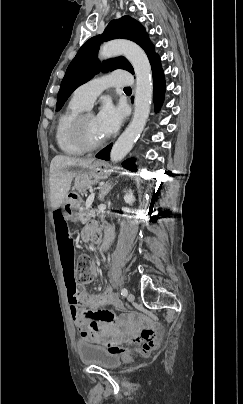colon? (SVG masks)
<instances>
[{
	"label": "colon",
	"mask_w": 243,
	"mask_h": 404,
	"mask_svg": "<svg viewBox=\"0 0 243 404\" xmlns=\"http://www.w3.org/2000/svg\"><path fill=\"white\" fill-rule=\"evenodd\" d=\"M95 277V269L91 259L87 255H81L77 262L76 279L80 283H90ZM71 301L75 304L89 307V310L101 309V304L115 305L116 299L113 290L107 288L102 294L92 296L84 291H76L71 295ZM160 342L159 332L153 327L144 328L137 337L139 344L136 350L139 353H149L156 349ZM112 349L117 348L115 344L110 343Z\"/></svg>",
	"instance_id": "5ec220e1"
}]
</instances>
